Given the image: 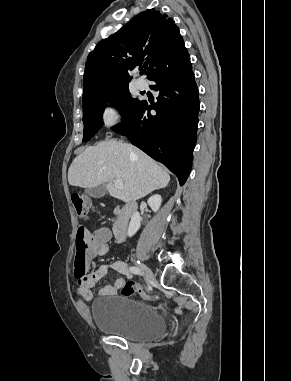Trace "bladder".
I'll return each instance as SVG.
<instances>
[{
    "label": "bladder",
    "mask_w": 291,
    "mask_h": 381,
    "mask_svg": "<svg viewBox=\"0 0 291 381\" xmlns=\"http://www.w3.org/2000/svg\"><path fill=\"white\" fill-rule=\"evenodd\" d=\"M92 318L99 330L136 342L155 340L166 330L158 311L127 296L95 300Z\"/></svg>",
    "instance_id": "bladder-1"
}]
</instances>
